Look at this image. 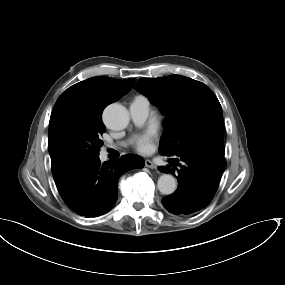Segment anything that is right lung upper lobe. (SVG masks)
I'll return each mask as SVG.
<instances>
[{
  "mask_svg": "<svg viewBox=\"0 0 285 285\" xmlns=\"http://www.w3.org/2000/svg\"><path fill=\"white\" fill-rule=\"evenodd\" d=\"M134 82V78L117 80L110 77H93L69 87L58 99H78L104 109L108 104L127 94L133 87ZM61 173L63 172H55L53 177L56 178Z\"/></svg>",
  "mask_w": 285,
  "mask_h": 285,
  "instance_id": "1",
  "label": "right lung upper lobe"
}]
</instances>
